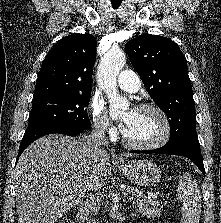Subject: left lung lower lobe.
<instances>
[{
	"mask_svg": "<svg viewBox=\"0 0 221 223\" xmlns=\"http://www.w3.org/2000/svg\"><path fill=\"white\" fill-rule=\"evenodd\" d=\"M131 153H160L170 155H180L193 161L201 172L205 175V169L201 157V150L198 139H184L181 141L166 144L165 146L147 151L132 150Z\"/></svg>",
	"mask_w": 221,
	"mask_h": 223,
	"instance_id": "left-lung-lower-lobe-1",
	"label": "left lung lower lobe"
}]
</instances>
